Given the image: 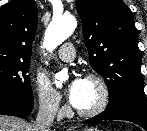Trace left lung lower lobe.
Masks as SVG:
<instances>
[{"label":"left lung lower lobe","instance_id":"0a47b994","mask_svg":"<svg viewBox=\"0 0 147 131\" xmlns=\"http://www.w3.org/2000/svg\"><path fill=\"white\" fill-rule=\"evenodd\" d=\"M99 120H127L147 130V106L126 105L106 109L99 115L84 121V124Z\"/></svg>","mask_w":147,"mask_h":131}]
</instances>
